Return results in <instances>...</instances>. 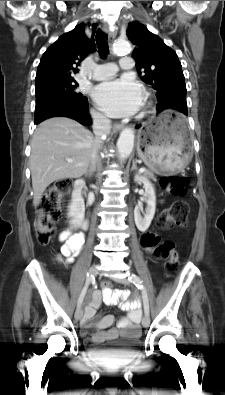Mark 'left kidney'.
<instances>
[{
    "mask_svg": "<svg viewBox=\"0 0 225 395\" xmlns=\"http://www.w3.org/2000/svg\"><path fill=\"white\" fill-rule=\"evenodd\" d=\"M135 182L143 183L145 188V201L147 203V207L145 209L144 217L141 216L142 208L141 206H136L134 209V220L135 224L139 231L145 232L154 217L155 209H156V195L154 186L149 180L143 176L136 175L134 178Z\"/></svg>",
    "mask_w": 225,
    "mask_h": 395,
    "instance_id": "obj_1",
    "label": "left kidney"
}]
</instances>
